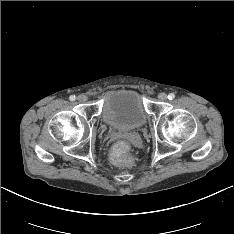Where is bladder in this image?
Wrapping results in <instances>:
<instances>
[{"instance_id":"1","label":"bladder","mask_w":234,"mask_h":234,"mask_svg":"<svg viewBox=\"0 0 234 234\" xmlns=\"http://www.w3.org/2000/svg\"><path fill=\"white\" fill-rule=\"evenodd\" d=\"M102 116L110 128L129 132L143 127L147 114L141 95L134 90H117L104 99Z\"/></svg>"}]
</instances>
